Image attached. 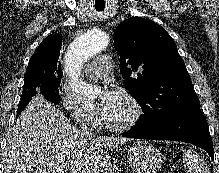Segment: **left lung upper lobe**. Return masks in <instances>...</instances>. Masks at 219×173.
Instances as JSON below:
<instances>
[{
    "mask_svg": "<svg viewBox=\"0 0 219 173\" xmlns=\"http://www.w3.org/2000/svg\"><path fill=\"white\" fill-rule=\"evenodd\" d=\"M123 84L143 108L137 127L155 128L183 112L200 109L174 40L154 22L133 17L116 29Z\"/></svg>",
    "mask_w": 219,
    "mask_h": 173,
    "instance_id": "5c2ea615",
    "label": "left lung upper lobe"
}]
</instances>
